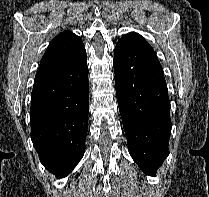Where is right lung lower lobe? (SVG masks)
<instances>
[{"instance_id": "obj_1", "label": "right lung lower lobe", "mask_w": 209, "mask_h": 197, "mask_svg": "<svg viewBox=\"0 0 209 197\" xmlns=\"http://www.w3.org/2000/svg\"><path fill=\"white\" fill-rule=\"evenodd\" d=\"M89 82L86 51L45 77L34 80L31 139L45 168L67 176L85 152Z\"/></svg>"}]
</instances>
